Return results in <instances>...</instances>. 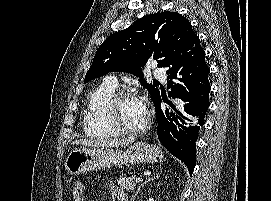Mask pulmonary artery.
I'll list each match as a JSON object with an SVG mask.
<instances>
[{
  "mask_svg": "<svg viewBox=\"0 0 271 201\" xmlns=\"http://www.w3.org/2000/svg\"><path fill=\"white\" fill-rule=\"evenodd\" d=\"M154 75L162 80H165L166 77L164 69L157 66L154 69ZM117 83V78L114 75H108L103 79V85L110 88L115 89L117 87Z\"/></svg>",
  "mask_w": 271,
  "mask_h": 201,
  "instance_id": "1",
  "label": "pulmonary artery"
}]
</instances>
